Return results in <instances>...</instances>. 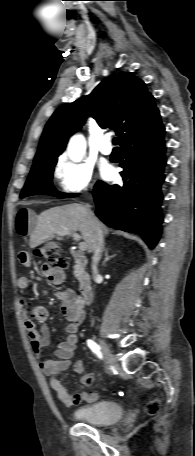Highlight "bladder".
Segmentation results:
<instances>
[{"mask_svg":"<svg viewBox=\"0 0 195 456\" xmlns=\"http://www.w3.org/2000/svg\"><path fill=\"white\" fill-rule=\"evenodd\" d=\"M122 415L121 405L107 400L81 406L73 412L75 419L94 426L116 423L122 418Z\"/></svg>","mask_w":195,"mask_h":456,"instance_id":"bladder-1","label":"bladder"}]
</instances>
